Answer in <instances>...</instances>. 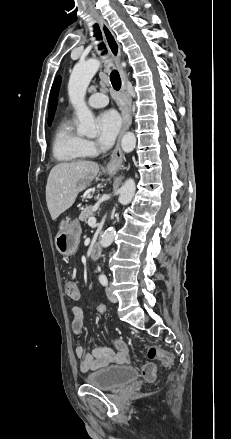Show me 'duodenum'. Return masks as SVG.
Masks as SVG:
<instances>
[{"label": "duodenum", "mask_w": 231, "mask_h": 439, "mask_svg": "<svg viewBox=\"0 0 231 439\" xmlns=\"http://www.w3.org/2000/svg\"><path fill=\"white\" fill-rule=\"evenodd\" d=\"M100 254H101V248H100L99 244H94L91 247L90 252H89L90 258L97 259V258H99Z\"/></svg>", "instance_id": "1"}]
</instances>
